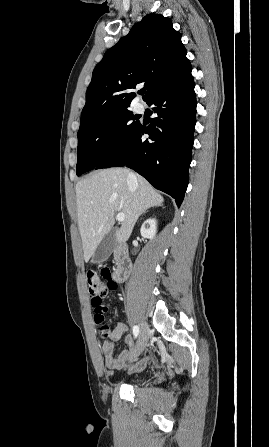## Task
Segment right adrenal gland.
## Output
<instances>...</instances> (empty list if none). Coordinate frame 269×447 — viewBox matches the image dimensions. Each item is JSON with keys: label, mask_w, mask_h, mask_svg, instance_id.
Wrapping results in <instances>:
<instances>
[{"label": "right adrenal gland", "mask_w": 269, "mask_h": 447, "mask_svg": "<svg viewBox=\"0 0 269 447\" xmlns=\"http://www.w3.org/2000/svg\"><path fill=\"white\" fill-rule=\"evenodd\" d=\"M147 212H149V210H147ZM143 214H146V212H142L141 216H143Z\"/></svg>", "instance_id": "1"}]
</instances>
